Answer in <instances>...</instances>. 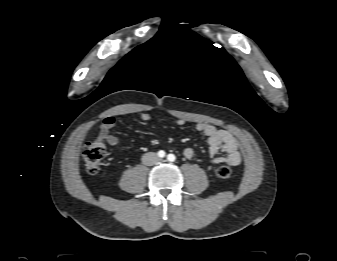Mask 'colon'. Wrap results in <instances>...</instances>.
<instances>
[{"mask_svg":"<svg viewBox=\"0 0 337 261\" xmlns=\"http://www.w3.org/2000/svg\"><path fill=\"white\" fill-rule=\"evenodd\" d=\"M105 154L106 144L102 138L86 143L82 155L85 169L89 174H96L99 171ZM216 175L221 179H229L232 171L229 166L221 165L216 169Z\"/></svg>","mask_w":337,"mask_h":261,"instance_id":"5ec220e1","label":"colon"}]
</instances>
